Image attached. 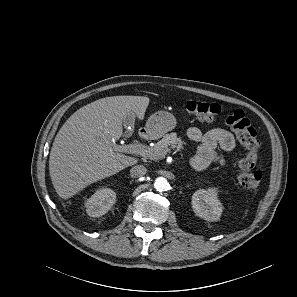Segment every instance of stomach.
I'll return each mask as SVG.
<instances>
[{
  "mask_svg": "<svg viewBox=\"0 0 297 297\" xmlns=\"http://www.w3.org/2000/svg\"><path fill=\"white\" fill-rule=\"evenodd\" d=\"M176 126L175 117L167 111H158L148 119L146 123L147 135L150 138H160Z\"/></svg>",
  "mask_w": 297,
  "mask_h": 297,
  "instance_id": "0dacf381",
  "label": "stomach"
}]
</instances>
